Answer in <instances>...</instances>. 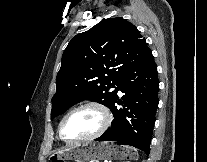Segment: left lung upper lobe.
Wrapping results in <instances>:
<instances>
[{"label":"left lung upper lobe","instance_id":"left-lung-upper-lobe-1","mask_svg":"<svg viewBox=\"0 0 207 162\" xmlns=\"http://www.w3.org/2000/svg\"><path fill=\"white\" fill-rule=\"evenodd\" d=\"M149 50L138 29L121 17L99 22L66 47L56 78L51 119L82 100L108 108L124 76Z\"/></svg>","mask_w":207,"mask_h":162}]
</instances>
